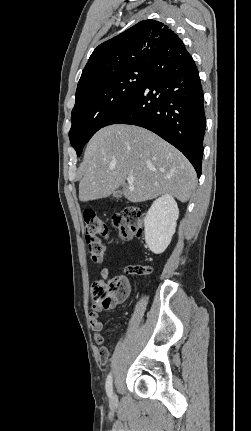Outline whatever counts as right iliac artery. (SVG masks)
Segmentation results:
<instances>
[{
	"instance_id": "1",
	"label": "right iliac artery",
	"mask_w": 251,
	"mask_h": 431,
	"mask_svg": "<svg viewBox=\"0 0 251 431\" xmlns=\"http://www.w3.org/2000/svg\"><path fill=\"white\" fill-rule=\"evenodd\" d=\"M105 387H106L107 395L109 397H111L112 396V392H113V384H112V375L111 374H109L107 376L106 386Z\"/></svg>"
}]
</instances>
